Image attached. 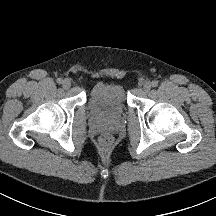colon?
Returning a JSON list of instances; mask_svg holds the SVG:
<instances>
[{
    "mask_svg": "<svg viewBox=\"0 0 216 216\" xmlns=\"http://www.w3.org/2000/svg\"><path fill=\"white\" fill-rule=\"evenodd\" d=\"M98 145L101 150L108 151L113 146V138L109 134H103L98 140Z\"/></svg>",
    "mask_w": 216,
    "mask_h": 216,
    "instance_id": "1",
    "label": "colon"
}]
</instances>
